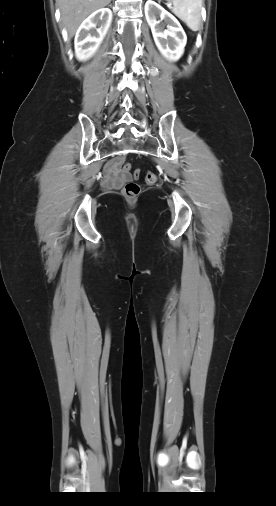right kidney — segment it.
Masks as SVG:
<instances>
[{"label":"right kidney","mask_w":276,"mask_h":506,"mask_svg":"<svg viewBox=\"0 0 276 506\" xmlns=\"http://www.w3.org/2000/svg\"><path fill=\"white\" fill-rule=\"evenodd\" d=\"M112 20V11L101 8L86 18L75 35L76 57L85 61L91 58L101 45Z\"/></svg>","instance_id":"ca27d5eb"}]
</instances>
